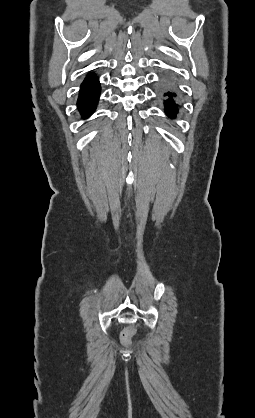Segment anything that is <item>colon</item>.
<instances>
[{
    "instance_id": "obj_1",
    "label": "colon",
    "mask_w": 255,
    "mask_h": 418,
    "mask_svg": "<svg viewBox=\"0 0 255 418\" xmlns=\"http://www.w3.org/2000/svg\"><path fill=\"white\" fill-rule=\"evenodd\" d=\"M135 333L136 331L133 327L125 328L120 335L121 343L124 346L129 347L132 344V340H133Z\"/></svg>"
}]
</instances>
